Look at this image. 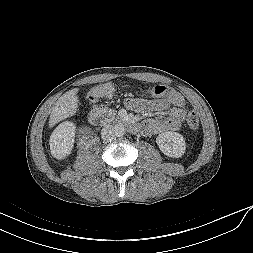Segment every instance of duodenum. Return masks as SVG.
Segmentation results:
<instances>
[{
    "label": "duodenum",
    "mask_w": 253,
    "mask_h": 253,
    "mask_svg": "<svg viewBox=\"0 0 253 253\" xmlns=\"http://www.w3.org/2000/svg\"><path fill=\"white\" fill-rule=\"evenodd\" d=\"M89 122L92 125H99L104 120V111L103 109L95 105L91 108L89 112ZM119 123L124 124L127 128H129L132 132H136L139 129L138 124L131 118H122L119 120Z\"/></svg>",
    "instance_id": "obj_1"
}]
</instances>
